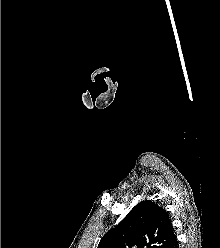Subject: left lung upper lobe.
I'll use <instances>...</instances> for the list:
<instances>
[{
  "label": "left lung upper lobe",
  "instance_id": "1",
  "mask_svg": "<svg viewBox=\"0 0 220 248\" xmlns=\"http://www.w3.org/2000/svg\"><path fill=\"white\" fill-rule=\"evenodd\" d=\"M174 228L166 210L151 200L138 203L100 240L97 248H165Z\"/></svg>",
  "mask_w": 220,
  "mask_h": 248
}]
</instances>
